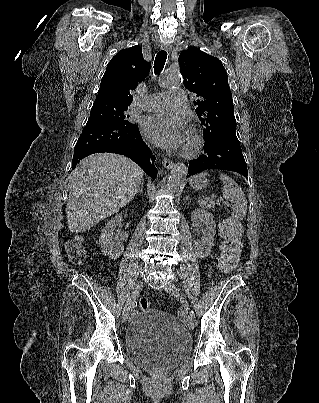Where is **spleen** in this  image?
<instances>
[{"label": "spleen", "mask_w": 319, "mask_h": 403, "mask_svg": "<svg viewBox=\"0 0 319 403\" xmlns=\"http://www.w3.org/2000/svg\"><path fill=\"white\" fill-rule=\"evenodd\" d=\"M208 173L203 172L199 176L205 177ZM220 178L223 181L222 193L223 197L232 205V218L242 220L247 214V200L240 186L228 175L221 173ZM198 203L202 208L212 209L215 203L212 199L203 197L198 199Z\"/></svg>", "instance_id": "3e777b00"}]
</instances>
